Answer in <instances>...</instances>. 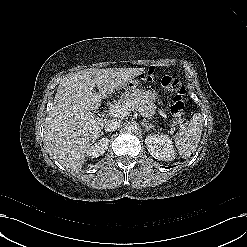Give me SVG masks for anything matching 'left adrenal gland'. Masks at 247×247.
<instances>
[{
    "label": "left adrenal gland",
    "mask_w": 247,
    "mask_h": 247,
    "mask_svg": "<svg viewBox=\"0 0 247 247\" xmlns=\"http://www.w3.org/2000/svg\"><path fill=\"white\" fill-rule=\"evenodd\" d=\"M142 126L145 128V130H150L151 128H153V126L151 124H148L146 122H142Z\"/></svg>",
    "instance_id": "left-adrenal-gland-1"
}]
</instances>
